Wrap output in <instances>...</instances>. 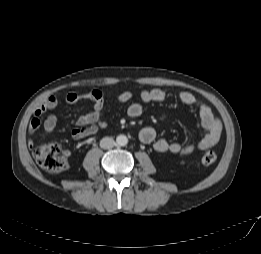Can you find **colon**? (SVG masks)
Listing matches in <instances>:
<instances>
[{"label":"colon","mask_w":261,"mask_h":254,"mask_svg":"<svg viewBox=\"0 0 261 254\" xmlns=\"http://www.w3.org/2000/svg\"><path fill=\"white\" fill-rule=\"evenodd\" d=\"M37 164L44 170L57 173L66 168L67 158L61 146L55 143L36 144L32 150ZM217 159L214 151L206 152L201 159L203 165H211Z\"/></svg>","instance_id":"colon-1"}]
</instances>
